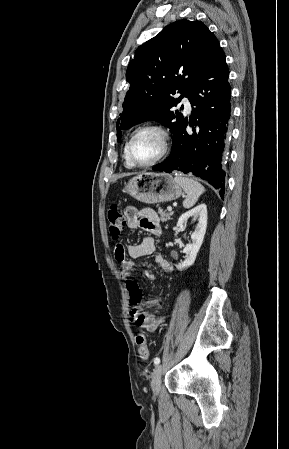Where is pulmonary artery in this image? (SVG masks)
Listing matches in <instances>:
<instances>
[{"instance_id":"pulmonary-artery-1","label":"pulmonary artery","mask_w":289,"mask_h":449,"mask_svg":"<svg viewBox=\"0 0 289 449\" xmlns=\"http://www.w3.org/2000/svg\"><path fill=\"white\" fill-rule=\"evenodd\" d=\"M182 103L184 105V109L186 112H190L191 111V104L188 98H183Z\"/></svg>"}]
</instances>
